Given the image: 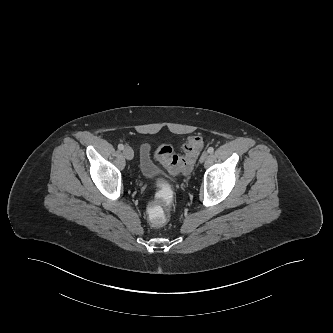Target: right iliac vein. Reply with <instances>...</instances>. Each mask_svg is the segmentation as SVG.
<instances>
[{
  "label": "right iliac vein",
  "mask_w": 333,
  "mask_h": 333,
  "mask_svg": "<svg viewBox=\"0 0 333 333\" xmlns=\"http://www.w3.org/2000/svg\"><path fill=\"white\" fill-rule=\"evenodd\" d=\"M123 154L127 160H132L134 157V152L131 147H125L123 149Z\"/></svg>",
  "instance_id": "1"
}]
</instances>
